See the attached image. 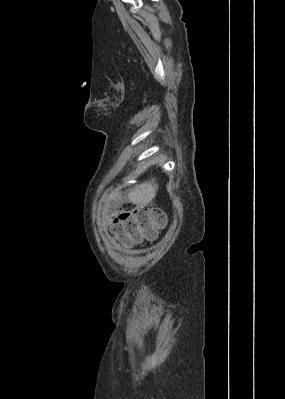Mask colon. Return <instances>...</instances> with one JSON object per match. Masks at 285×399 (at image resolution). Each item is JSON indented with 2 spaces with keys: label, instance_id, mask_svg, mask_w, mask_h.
<instances>
[{
  "label": "colon",
  "instance_id": "colon-1",
  "mask_svg": "<svg viewBox=\"0 0 285 399\" xmlns=\"http://www.w3.org/2000/svg\"><path fill=\"white\" fill-rule=\"evenodd\" d=\"M112 205H103V214L113 212ZM167 226L163 211L159 209H135L111 217V234L122 247L133 246L147 236L162 231Z\"/></svg>",
  "mask_w": 285,
  "mask_h": 399
}]
</instances>
